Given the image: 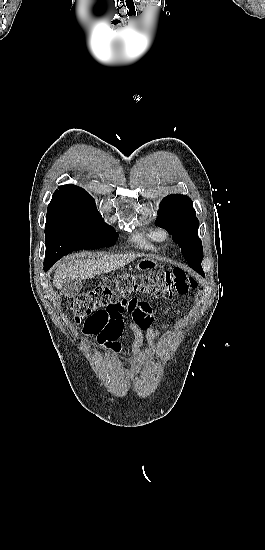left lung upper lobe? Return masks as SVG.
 <instances>
[{"instance_id": "5c2ea615", "label": "left lung upper lobe", "mask_w": 265, "mask_h": 550, "mask_svg": "<svg viewBox=\"0 0 265 550\" xmlns=\"http://www.w3.org/2000/svg\"><path fill=\"white\" fill-rule=\"evenodd\" d=\"M192 201L181 194L165 197L160 203L156 224L172 235L181 253L193 269H202V242L198 237L199 220Z\"/></svg>"}]
</instances>
